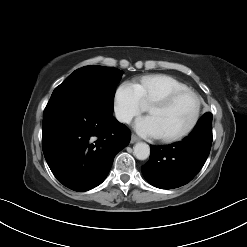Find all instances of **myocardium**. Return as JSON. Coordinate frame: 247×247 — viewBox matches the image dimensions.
<instances>
[{
  "mask_svg": "<svg viewBox=\"0 0 247 247\" xmlns=\"http://www.w3.org/2000/svg\"><path fill=\"white\" fill-rule=\"evenodd\" d=\"M186 94L193 95L197 100V110H196L195 116L193 118V121L191 122L189 127L186 130H184L183 132H181L180 134H177L175 136H170V137L161 136L160 139L164 142L173 143V142L181 141L182 139L186 138L187 136H189L194 131V129L197 127V125L200 121V118H201L203 99L196 91H194L190 88H186V89H182V90L172 91V92L162 96L161 98H159L157 101H155L154 103H152L148 107V112H150L154 108H158V109L167 108L178 97H180L182 95H186Z\"/></svg>",
  "mask_w": 247,
  "mask_h": 247,
  "instance_id": "f54148a6",
  "label": "myocardium"
}]
</instances>
